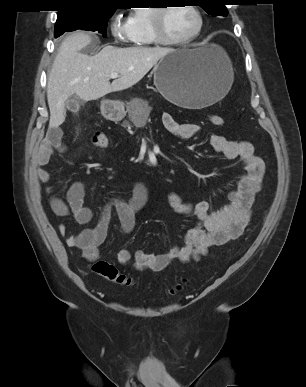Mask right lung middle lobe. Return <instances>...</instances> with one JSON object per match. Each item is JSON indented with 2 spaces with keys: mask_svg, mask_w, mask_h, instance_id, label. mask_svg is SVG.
<instances>
[{
  "mask_svg": "<svg viewBox=\"0 0 306 387\" xmlns=\"http://www.w3.org/2000/svg\"><path fill=\"white\" fill-rule=\"evenodd\" d=\"M114 12L115 10H96L58 13L54 36L57 38L66 31L81 29L98 31L103 37H106L107 21Z\"/></svg>",
  "mask_w": 306,
  "mask_h": 387,
  "instance_id": "right-lung-middle-lobe-1",
  "label": "right lung middle lobe"
}]
</instances>
